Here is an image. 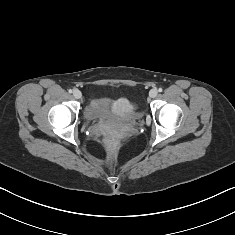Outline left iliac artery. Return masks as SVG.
<instances>
[{"label": "left iliac artery", "instance_id": "44dca946", "mask_svg": "<svg viewBox=\"0 0 235 235\" xmlns=\"http://www.w3.org/2000/svg\"><path fill=\"white\" fill-rule=\"evenodd\" d=\"M162 90H163L162 88H159V89H158L159 92H162Z\"/></svg>", "mask_w": 235, "mask_h": 235}]
</instances>
